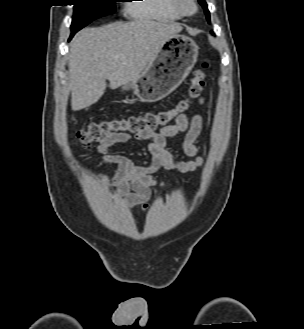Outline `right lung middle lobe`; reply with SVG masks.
I'll return each mask as SVG.
<instances>
[{"label": "right lung middle lobe", "instance_id": "1", "mask_svg": "<svg viewBox=\"0 0 304 329\" xmlns=\"http://www.w3.org/2000/svg\"><path fill=\"white\" fill-rule=\"evenodd\" d=\"M74 4L71 36L88 25L93 20L112 14L115 11L117 0H72Z\"/></svg>", "mask_w": 304, "mask_h": 329}]
</instances>
